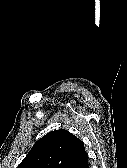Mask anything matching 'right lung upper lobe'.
<instances>
[{"instance_id": "cb5924a9", "label": "right lung upper lobe", "mask_w": 127, "mask_h": 168, "mask_svg": "<svg viewBox=\"0 0 127 168\" xmlns=\"http://www.w3.org/2000/svg\"><path fill=\"white\" fill-rule=\"evenodd\" d=\"M87 159L83 142L60 129L39 139L18 168H78Z\"/></svg>"}]
</instances>
